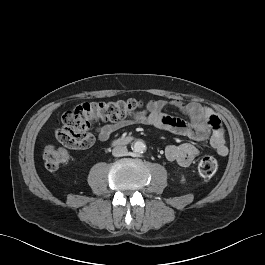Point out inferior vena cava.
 I'll list each match as a JSON object with an SVG mask.
<instances>
[{
    "instance_id": "inferior-vena-cava-1",
    "label": "inferior vena cava",
    "mask_w": 265,
    "mask_h": 265,
    "mask_svg": "<svg viewBox=\"0 0 265 265\" xmlns=\"http://www.w3.org/2000/svg\"><path fill=\"white\" fill-rule=\"evenodd\" d=\"M127 153H128V150H127V148L125 146H116L112 150V155L114 157L126 156Z\"/></svg>"
}]
</instances>
